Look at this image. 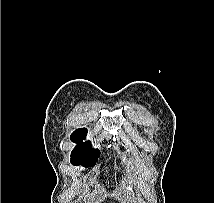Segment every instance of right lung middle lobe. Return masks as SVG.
Instances as JSON below:
<instances>
[{
	"label": "right lung middle lobe",
	"instance_id": "right-lung-middle-lobe-1",
	"mask_svg": "<svg viewBox=\"0 0 214 203\" xmlns=\"http://www.w3.org/2000/svg\"><path fill=\"white\" fill-rule=\"evenodd\" d=\"M87 130L85 128L77 129L70 137L72 142L77 143L71 153V163L73 165H83L86 168L96 164L100 151L92 149L90 141L82 142L85 139Z\"/></svg>",
	"mask_w": 214,
	"mask_h": 203
}]
</instances>
